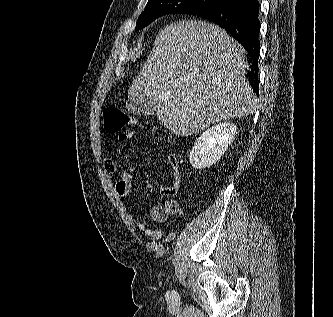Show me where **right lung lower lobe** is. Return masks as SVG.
Returning a JSON list of instances; mask_svg holds the SVG:
<instances>
[{
    "mask_svg": "<svg viewBox=\"0 0 333 317\" xmlns=\"http://www.w3.org/2000/svg\"><path fill=\"white\" fill-rule=\"evenodd\" d=\"M259 9L257 0H236L212 10L195 14L227 30L246 49L250 56L249 64L251 68L248 76L257 95L259 94Z\"/></svg>",
    "mask_w": 333,
    "mask_h": 317,
    "instance_id": "right-lung-lower-lobe-1",
    "label": "right lung lower lobe"
}]
</instances>
